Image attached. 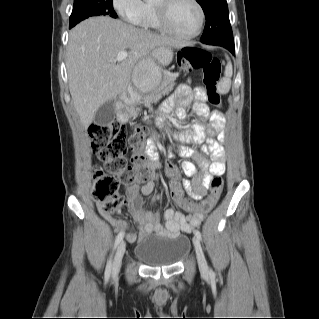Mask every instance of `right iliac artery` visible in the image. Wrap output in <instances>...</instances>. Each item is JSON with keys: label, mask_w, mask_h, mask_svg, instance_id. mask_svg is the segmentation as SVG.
<instances>
[{"label": "right iliac artery", "mask_w": 319, "mask_h": 319, "mask_svg": "<svg viewBox=\"0 0 319 319\" xmlns=\"http://www.w3.org/2000/svg\"><path fill=\"white\" fill-rule=\"evenodd\" d=\"M123 237H124V233H123V232H119V234H118L117 237H116L113 250L116 249V247L118 246V244L122 241ZM111 267H112V255L110 256V259H109V261L107 262V265H106V269H105V281H108V279L110 278V275H111Z\"/></svg>", "instance_id": "1"}]
</instances>
